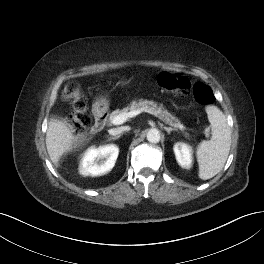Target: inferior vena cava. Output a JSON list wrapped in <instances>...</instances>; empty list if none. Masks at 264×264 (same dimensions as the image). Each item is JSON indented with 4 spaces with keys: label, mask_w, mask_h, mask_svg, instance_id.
<instances>
[{
    "label": "inferior vena cava",
    "mask_w": 264,
    "mask_h": 264,
    "mask_svg": "<svg viewBox=\"0 0 264 264\" xmlns=\"http://www.w3.org/2000/svg\"><path fill=\"white\" fill-rule=\"evenodd\" d=\"M128 130V127H117V128H113V129H110L108 130L109 134L110 135H118L124 131H127Z\"/></svg>",
    "instance_id": "obj_1"
}]
</instances>
